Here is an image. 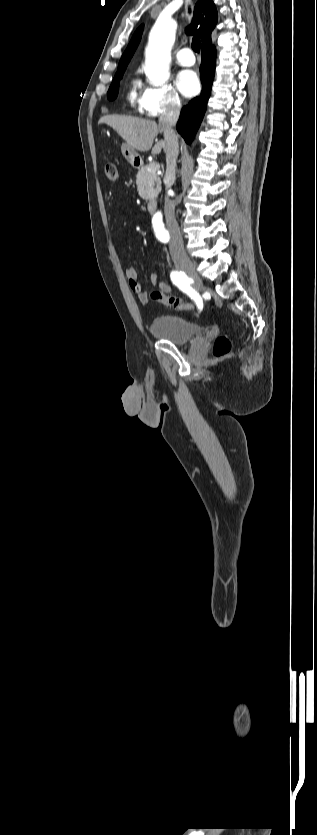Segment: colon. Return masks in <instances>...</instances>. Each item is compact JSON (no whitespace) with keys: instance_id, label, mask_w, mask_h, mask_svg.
Masks as SVG:
<instances>
[{"instance_id":"5ec220e1","label":"colon","mask_w":317,"mask_h":835,"mask_svg":"<svg viewBox=\"0 0 317 835\" xmlns=\"http://www.w3.org/2000/svg\"><path fill=\"white\" fill-rule=\"evenodd\" d=\"M105 175L110 181H115L118 176L115 164L109 162L105 165ZM150 299L164 304L176 310H191L192 305L185 302L178 296L167 295L159 290H154L150 293ZM231 352V342L226 336L218 337L213 344V354L217 358H223Z\"/></svg>"}]
</instances>
